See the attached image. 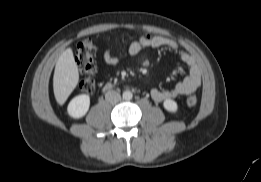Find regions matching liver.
I'll use <instances>...</instances> for the list:
<instances>
[{
  "mask_svg": "<svg viewBox=\"0 0 261 182\" xmlns=\"http://www.w3.org/2000/svg\"><path fill=\"white\" fill-rule=\"evenodd\" d=\"M79 81V72L73 51L67 48L58 58L53 76L54 96L63 105Z\"/></svg>",
  "mask_w": 261,
  "mask_h": 182,
  "instance_id": "1",
  "label": "liver"
}]
</instances>
